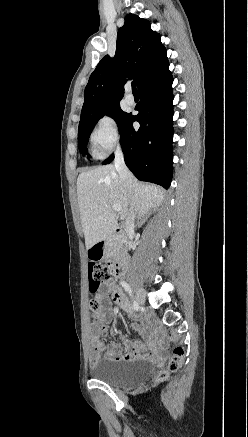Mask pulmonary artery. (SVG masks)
I'll use <instances>...</instances> for the list:
<instances>
[{"mask_svg": "<svg viewBox=\"0 0 248 437\" xmlns=\"http://www.w3.org/2000/svg\"><path fill=\"white\" fill-rule=\"evenodd\" d=\"M125 101L127 102V104L129 105H133L135 100L133 95L130 93L129 88H127V94L125 96Z\"/></svg>", "mask_w": 248, "mask_h": 437, "instance_id": "pulmonary-artery-1", "label": "pulmonary artery"}]
</instances>
